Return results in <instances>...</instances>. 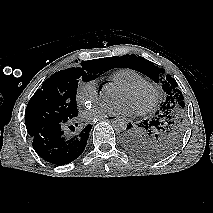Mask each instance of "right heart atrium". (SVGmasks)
<instances>
[{
	"label": "right heart atrium",
	"mask_w": 213,
	"mask_h": 213,
	"mask_svg": "<svg viewBox=\"0 0 213 213\" xmlns=\"http://www.w3.org/2000/svg\"><path fill=\"white\" fill-rule=\"evenodd\" d=\"M98 99V85L96 80L80 82L77 87L76 100L79 104L89 106Z\"/></svg>",
	"instance_id": "1"
}]
</instances>
